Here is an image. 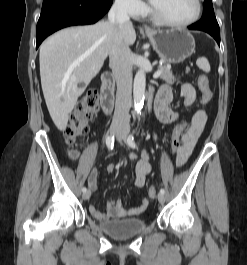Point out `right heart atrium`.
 I'll return each instance as SVG.
<instances>
[{
  "label": "right heart atrium",
  "mask_w": 247,
  "mask_h": 265,
  "mask_svg": "<svg viewBox=\"0 0 247 265\" xmlns=\"http://www.w3.org/2000/svg\"><path fill=\"white\" fill-rule=\"evenodd\" d=\"M117 8L131 17H139L146 12V6L141 0H115Z\"/></svg>",
  "instance_id": "obj_1"
}]
</instances>
